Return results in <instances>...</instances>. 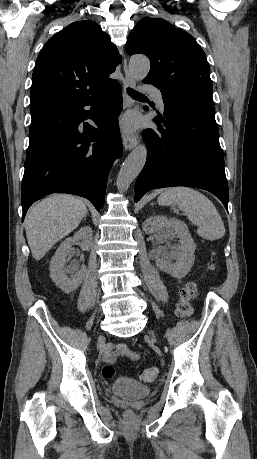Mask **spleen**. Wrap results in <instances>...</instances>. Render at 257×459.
I'll return each instance as SVG.
<instances>
[{
    "instance_id": "spleen-1",
    "label": "spleen",
    "mask_w": 257,
    "mask_h": 459,
    "mask_svg": "<svg viewBox=\"0 0 257 459\" xmlns=\"http://www.w3.org/2000/svg\"><path fill=\"white\" fill-rule=\"evenodd\" d=\"M162 205L177 206L197 225V233L206 240H218L225 235V226L214 204L201 192L189 187H173L158 198Z\"/></svg>"
}]
</instances>
